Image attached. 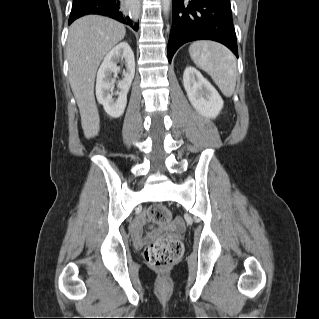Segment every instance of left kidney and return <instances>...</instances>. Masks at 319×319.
Here are the masks:
<instances>
[{
    "instance_id": "obj_1",
    "label": "left kidney",
    "mask_w": 319,
    "mask_h": 319,
    "mask_svg": "<svg viewBox=\"0 0 319 319\" xmlns=\"http://www.w3.org/2000/svg\"><path fill=\"white\" fill-rule=\"evenodd\" d=\"M183 85L196 111L207 117L216 118L223 108V100L211 83L194 67H186Z\"/></svg>"
}]
</instances>
